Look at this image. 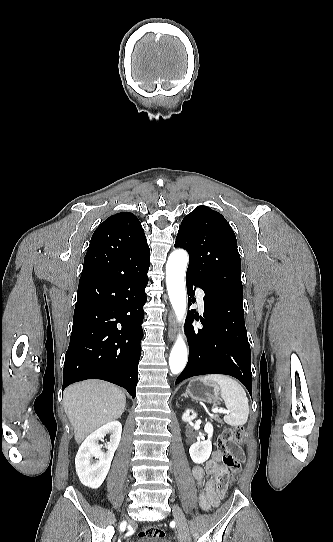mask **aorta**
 <instances>
[{
	"instance_id": "1",
	"label": "aorta",
	"mask_w": 333,
	"mask_h": 542,
	"mask_svg": "<svg viewBox=\"0 0 333 542\" xmlns=\"http://www.w3.org/2000/svg\"><path fill=\"white\" fill-rule=\"evenodd\" d=\"M189 256L185 250H175L170 254L166 264V284L169 300L174 310L177 322L182 324L187 310L185 288V272ZM188 360V350L182 334H178L169 358V368L172 374H181Z\"/></svg>"
}]
</instances>
